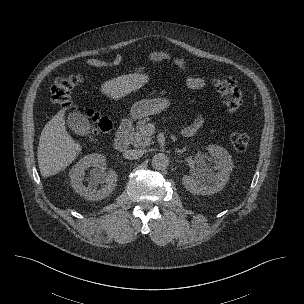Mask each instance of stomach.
I'll list each match as a JSON object with an SVG mask.
<instances>
[{
	"mask_svg": "<svg viewBox=\"0 0 304 304\" xmlns=\"http://www.w3.org/2000/svg\"><path fill=\"white\" fill-rule=\"evenodd\" d=\"M169 105L170 102L166 98L142 99L132 105L130 114L134 120L142 119L166 110Z\"/></svg>",
	"mask_w": 304,
	"mask_h": 304,
	"instance_id": "stomach-1",
	"label": "stomach"
}]
</instances>
